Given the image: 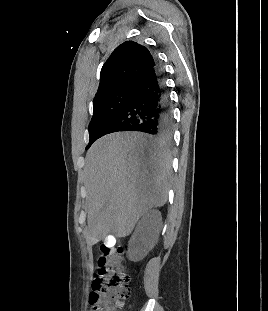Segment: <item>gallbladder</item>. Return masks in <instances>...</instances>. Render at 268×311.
I'll use <instances>...</instances> for the list:
<instances>
[{
  "instance_id": "1",
  "label": "gallbladder",
  "mask_w": 268,
  "mask_h": 311,
  "mask_svg": "<svg viewBox=\"0 0 268 311\" xmlns=\"http://www.w3.org/2000/svg\"><path fill=\"white\" fill-rule=\"evenodd\" d=\"M105 237H106V241H105L106 246H109V247L113 246L114 240H115L113 232H106Z\"/></svg>"
}]
</instances>
